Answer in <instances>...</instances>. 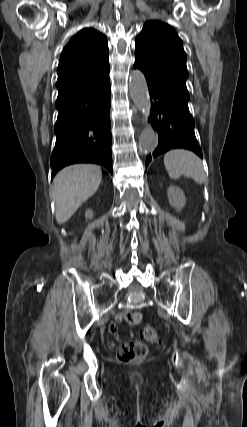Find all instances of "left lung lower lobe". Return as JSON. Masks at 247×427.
<instances>
[{
	"label": "left lung lower lobe",
	"instance_id": "0a47b994",
	"mask_svg": "<svg viewBox=\"0 0 247 427\" xmlns=\"http://www.w3.org/2000/svg\"><path fill=\"white\" fill-rule=\"evenodd\" d=\"M146 80L150 98L153 100L149 121L159 133L158 146L146 158V167L152 158L175 148L191 150L202 158V151L194 133V120L188 108L189 100L153 79L146 77Z\"/></svg>",
	"mask_w": 247,
	"mask_h": 427
}]
</instances>
